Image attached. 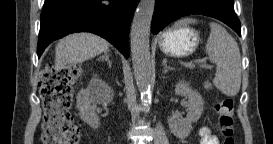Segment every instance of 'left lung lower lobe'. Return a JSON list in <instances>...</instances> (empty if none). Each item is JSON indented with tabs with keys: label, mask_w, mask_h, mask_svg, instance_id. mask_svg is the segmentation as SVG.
Here are the masks:
<instances>
[{
	"label": "left lung lower lobe",
	"mask_w": 273,
	"mask_h": 144,
	"mask_svg": "<svg viewBox=\"0 0 273 144\" xmlns=\"http://www.w3.org/2000/svg\"><path fill=\"white\" fill-rule=\"evenodd\" d=\"M151 23L153 34H157L172 21L190 14H201L216 18L230 26L241 36L240 21L234 12V0H155Z\"/></svg>",
	"instance_id": "obj_1"
}]
</instances>
